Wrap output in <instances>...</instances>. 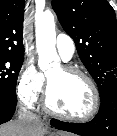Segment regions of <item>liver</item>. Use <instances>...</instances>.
<instances>
[{
    "label": "liver",
    "mask_w": 117,
    "mask_h": 136,
    "mask_svg": "<svg viewBox=\"0 0 117 136\" xmlns=\"http://www.w3.org/2000/svg\"><path fill=\"white\" fill-rule=\"evenodd\" d=\"M45 133L44 128L38 127L31 130L25 122L20 120L0 125V136H44Z\"/></svg>",
    "instance_id": "6515ba94"
}]
</instances>
